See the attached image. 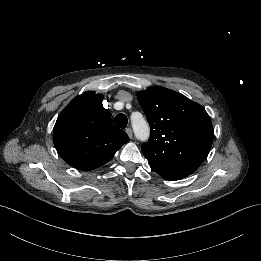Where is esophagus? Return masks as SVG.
<instances>
[{
    "label": "esophagus",
    "mask_w": 261,
    "mask_h": 261,
    "mask_svg": "<svg viewBox=\"0 0 261 261\" xmlns=\"http://www.w3.org/2000/svg\"><path fill=\"white\" fill-rule=\"evenodd\" d=\"M125 131H126L128 137H129L130 139H132V138H133V131H132V129H131V128H126Z\"/></svg>",
    "instance_id": "obj_1"
}]
</instances>
